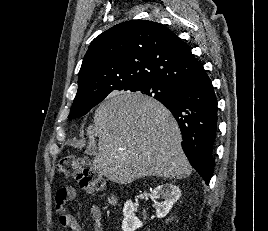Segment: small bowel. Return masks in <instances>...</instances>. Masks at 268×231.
I'll return each mask as SVG.
<instances>
[{
  "mask_svg": "<svg viewBox=\"0 0 268 231\" xmlns=\"http://www.w3.org/2000/svg\"><path fill=\"white\" fill-rule=\"evenodd\" d=\"M63 191L68 192V194L64 197L62 196ZM76 197V190L70 186L60 189L56 196V213L58 223L62 228L69 229L70 231H82L76 217L71 214L66 207V203L74 200ZM90 215L94 221V231H104L101 210L97 205H91Z\"/></svg>",
  "mask_w": 268,
  "mask_h": 231,
  "instance_id": "1",
  "label": "small bowel"
}]
</instances>
